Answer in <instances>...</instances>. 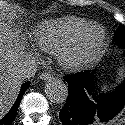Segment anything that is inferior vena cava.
Instances as JSON below:
<instances>
[{
    "label": "inferior vena cava",
    "instance_id": "1",
    "mask_svg": "<svg viewBox=\"0 0 125 125\" xmlns=\"http://www.w3.org/2000/svg\"><path fill=\"white\" fill-rule=\"evenodd\" d=\"M37 69V65L35 62H29L23 65L19 71L20 78H31L35 75Z\"/></svg>",
    "mask_w": 125,
    "mask_h": 125
}]
</instances>
